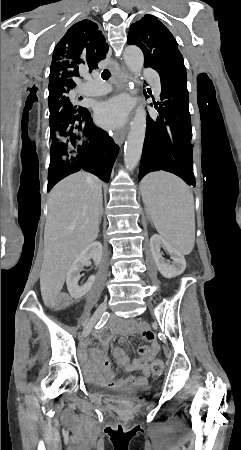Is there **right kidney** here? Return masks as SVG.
<instances>
[{
    "label": "right kidney",
    "instance_id": "obj_1",
    "mask_svg": "<svg viewBox=\"0 0 241 450\" xmlns=\"http://www.w3.org/2000/svg\"><path fill=\"white\" fill-rule=\"evenodd\" d=\"M91 258L95 266H99L102 258V244H100V242H93V244L84 248V250L76 256L72 266L69 268L66 284L67 290L74 300H80L82 296L88 294L95 282V276H90L86 284H83V286H79L78 284L81 278L80 272L83 270L85 264H89Z\"/></svg>",
    "mask_w": 241,
    "mask_h": 450
}]
</instances>
